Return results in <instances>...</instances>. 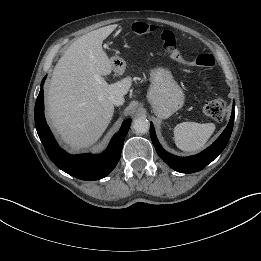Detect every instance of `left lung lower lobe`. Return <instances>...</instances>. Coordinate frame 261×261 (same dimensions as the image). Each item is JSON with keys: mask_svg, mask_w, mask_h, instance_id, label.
Returning <instances> with one entry per match:
<instances>
[{"mask_svg": "<svg viewBox=\"0 0 261 261\" xmlns=\"http://www.w3.org/2000/svg\"><path fill=\"white\" fill-rule=\"evenodd\" d=\"M233 122L234 104L230 121L219 138L201 153L190 157H179L165 151L156 138L152 123H150V136L157 153L172 169L181 173H193L202 170L224 150L233 129Z\"/></svg>", "mask_w": 261, "mask_h": 261, "instance_id": "0a47b994", "label": "left lung lower lobe"}]
</instances>
